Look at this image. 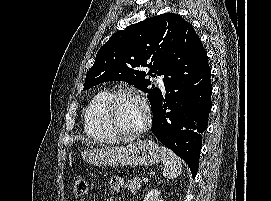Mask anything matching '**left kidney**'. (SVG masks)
I'll use <instances>...</instances> for the list:
<instances>
[{
  "label": "left kidney",
  "mask_w": 271,
  "mask_h": 201,
  "mask_svg": "<svg viewBox=\"0 0 271 201\" xmlns=\"http://www.w3.org/2000/svg\"><path fill=\"white\" fill-rule=\"evenodd\" d=\"M143 201H164L158 192V190L153 189L149 191Z\"/></svg>",
  "instance_id": "5707ae66"
}]
</instances>
